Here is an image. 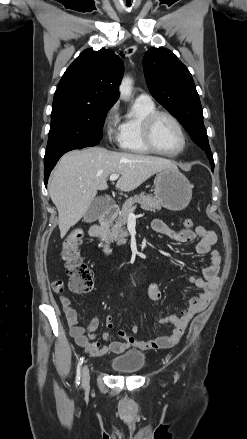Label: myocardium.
<instances>
[{
  "label": "myocardium",
  "mask_w": 247,
  "mask_h": 439,
  "mask_svg": "<svg viewBox=\"0 0 247 439\" xmlns=\"http://www.w3.org/2000/svg\"><path fill=\"white\" fill-rule=\"evenodd\" d=\"M162 116L169 118L176 125V127L179 130V133L181 136V146L176 151H173V152L162 151V150L158 149L153 142V137H152L153 126H154L156 120ZM142 138H143V142H144L145 146L151 152L162 155V156H166V157H175V156L180 155L185 150V148L187 146V135H186V132H185V129H184L182 123L179 121V119L176 116H174L172 113L167 112V111L156 110L153 113L149 114L144 119L143 124H142Z\"/></svg>",
  "instance_id": "myocardium-1"
}]
</instances>
